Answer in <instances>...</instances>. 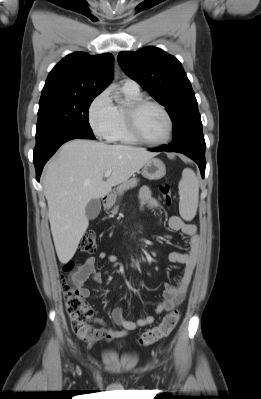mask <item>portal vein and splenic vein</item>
<instances>
[{"instance_id": "1", "label": "portal vein and splenic vein", "mask_w": 261, "mask_h": 399, "mask_svg": "<svg viewBox=\"0 0 261 399\" xmlns=\"http://www.w3.org/2000/svg\"><path fill=\"white\" fill-rule=\"evenodd\" d=\"M111 173H112L111 170L106 171V172L104 173V177H106V178L110 177Z\"/></svg>"}]
</instances>
